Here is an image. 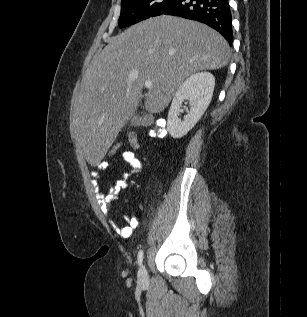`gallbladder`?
I'll return each mask as SVG.
<instances>
[{"instance_id":"gallbladder-1","label":"gallbladder","mask_w":307,"mask_h":317,"mask_svg":"<svg viewBox=\"0 0 307 317\" xmlns=\"http://www.w3.org/2000/svg\"><path fill=\"white\" fill-rule=\"evenodd\" d=\"M130 121L132 126H137L141 123V117L139 115H133Z\"/></svg>"}]
</instances>
